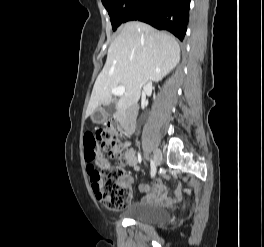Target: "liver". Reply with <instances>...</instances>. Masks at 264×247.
Wrapping results in <instances>:
<instances>
[{
	"instance_id": "obj_1",
	"label": "liver",
	"mask_w": 264,
	"mask_h": 247,
	"mask_svg": "<svg viewBox=\"0 0 264 247\" xmlns=\"http://www.w3.org/2000/svg\"><path fill=\"white\" fill-rule=\"evenodd\" d=\"M180 48L172 36L140 22L124 24L111 43L105 66L99 74L88 104L87 114L112 101V88L120 85L125 92L118 110L136 104L147 81L162 80L179 62Z\"/></svg>"
}]
</instances>
